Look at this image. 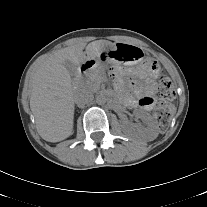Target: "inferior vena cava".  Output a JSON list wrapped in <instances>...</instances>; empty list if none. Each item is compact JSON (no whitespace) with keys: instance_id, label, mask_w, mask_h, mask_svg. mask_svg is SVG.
<instances>
[{"instance_id":"obj_1","label":"inferior vena cava","mask_w":207,"mask_h":207,"mask_svg":"<svg viewBox=\"0 0 207 207\" xmlns=\"http://www.w3.org/2000/svg\"><path fill=\"white\" fill-rule=\"evenodd\" d=\"M93 99L94 96L92 92L87 89L78 90L74 98L75 103L80 107H83L84 105L91 103Z\"/></svg>"}]
</instances>
